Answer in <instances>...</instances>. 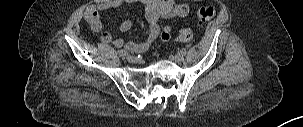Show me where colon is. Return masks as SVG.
I'll return each mask as SVG.
<instances>
[{
	"label": "colon",
	"instance_id": "1",
	"mask_svg": "<svg viewBox=\"0 0 303 127\" xmlns=\"http://www.w3.org/2000/svg\"><path fill=\"white\" fill-rule=\"evenodd\" d=\"M215 15V9L212 6H203L197 11V20L199 22H207L211 20ZM192 38V31L189 28H183L177 36L179 41H188ZM160 40L162 42H169L171 40V34L168 30H163L160 33Z\"/></svg>",
	"mask_w": 303,
	"mask_h": 127
}]
</instances>
